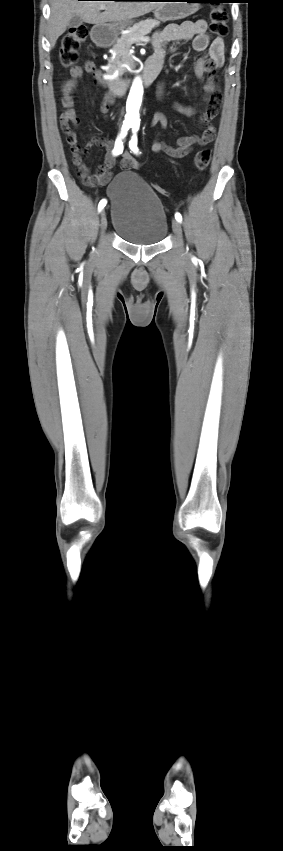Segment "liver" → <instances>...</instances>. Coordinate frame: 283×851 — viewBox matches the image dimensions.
I'll return each mask as SVG.
<instances>
[{
  "instance_id": "6515ba94",
  "label": "liver",
  "mask_w": 283,
  "mask_h": 851,
  "mask_svg": "<svg viewBox=\"0 0 283 851\" xmlns=\"http://www.w3.org/2000/svg\"><path fill=\"white\" fill-rule=\"evenodd\" d=\"M162 2L150 1H77L51 0V13L48 21V38L51 47L66 31L69 21L74 16L80 17L89 24L103 25L123 23L143 16L157 9ZM101 7L105 11L100 13Z\"/></svg>"
}]
</instances>
